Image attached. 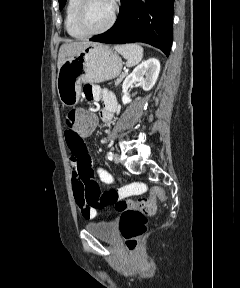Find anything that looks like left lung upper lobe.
Instances as JSON below:
<instances>
[{"label":"left lung upper lobe","instance_id":"5c2ea615","mask_svg":"<svg viewBox=\"0 0 240 288\" xmlns=\"http://www.w3.org/2000/svg\"><path fill=\"white\" fill-rule=\"evenodd\" d=\"M58 1H59L60 9L63 8L66 0H58Z\"/></svg>","mask_w":240,"mask_h":288}]
</instances>
